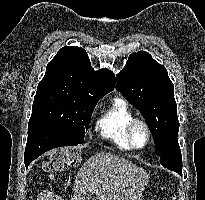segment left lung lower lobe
<instances>
[{
    "label": "left lung lower lobe",
    "mask_w": 205,
    "mask_h": 200,
    "mask_svg": "<svg viewBox=\"0 0 205 200\" xmlns=\"http://www.w3.org/2000/svg\"><path fill=\"white\" fill-rule=\"evenodd\" d=\"M178 130L179 125L173 129V135L170 137V149L165 155L159 157V160L167 169L182 175V156L177 138Z\"/></svg>",
    "instance_id": "left-lung-lower-lobe-1"
}]
</instances>
